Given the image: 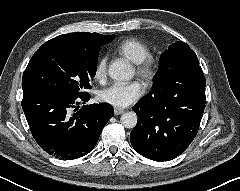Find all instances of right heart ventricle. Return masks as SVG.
I'll list each match as a JSON object with an SVG mask.
<instances>
[{
    "label": "right heart ventricle",
    "instance_id": "e07e8e85",
    "mask_svg": "<svg viewBox=\"0 0 240 191\" xmlns=\"http://www.w3.org/2000/svg\"><path fill=\"white\" fill-rule=\"evenodd\" d=\"M116 51L133 63H139L150 55L147 44L136 38H128L116 45Z\"/></svg>",
    "mask_w": 240,
    "mask_h": 191
}]
</instances>
